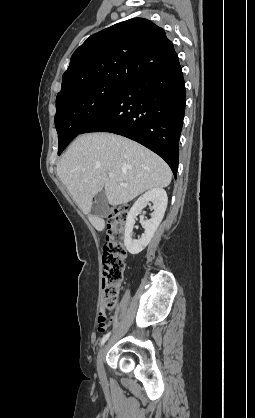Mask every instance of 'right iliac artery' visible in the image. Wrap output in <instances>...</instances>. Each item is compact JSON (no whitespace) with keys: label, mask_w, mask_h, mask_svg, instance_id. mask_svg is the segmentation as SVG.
Here are the masks:
<instances>
[{"label":"right iliac artery","mask_w":255,"mask_h":418,"mask_svg":"<svg viewBox=\"0 0 255 418\" xmlns=\"http://www.w3.org/2000/svg\"><path fill=\"white\" fill-rule=\"evenodd\" d=\"M110 334H111V332H108L107 334H105L103 336V338L101 339V343H100L101 346L107 341V339L109 338Z\"/></svg>","instance_id":"right-iliac-artery-1"}]
</instances>
